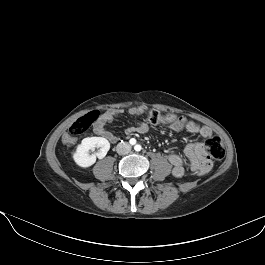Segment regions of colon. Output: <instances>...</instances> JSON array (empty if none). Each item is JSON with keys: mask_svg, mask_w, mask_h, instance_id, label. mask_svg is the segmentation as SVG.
<instances>
[{"mask_svg": "<svg viewBox=\"0 0 265 265\" xmlns=\"http://www.w3.org/2000/svg\"><path fill=\"white\" fill-rule=\"evenodd\" d=\"M101 116L99 111L89 112L79 117L69 128L68 134L65 137L67 143H74L75 140L84 134ZM147 118L152 124H173L181 120V116L176 114H163L157 110H150L147 113ZM206 151L215 159L220 160L225 155V147L219 136L213 135L205 142Z\"/></svg>", "mask_w": 265, "mask_h": 265, "instance_id": "1", "label": "colon"}]
</instances>
